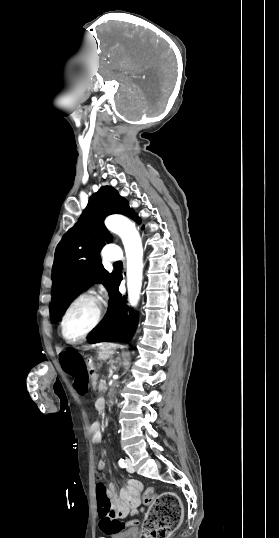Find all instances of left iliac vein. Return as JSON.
<instances>
[{"mask_svg": "<svg viewBox=\"0 0 279 538\" xmlns=\"http://www.w3.org/2000/svg\"><path fill=\"white\" fill-rule=\"evenodd\" d=\"M126 463H127V471H128L129 473H133V472H134V467H133V465H132L131 460L127 458V459H126Z\"/></svg>", "mask_w": 279, "mask_h": 538, "instance_id": "1", "label": "left iliac vein"}]
</instances>
